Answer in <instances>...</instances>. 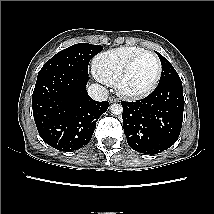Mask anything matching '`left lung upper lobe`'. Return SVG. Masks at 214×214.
Here are the masks:
<instances>
[{"instance_id":"1","label":"left lung upper lobe","mask_w":214,"mask_h":214,"mask_svg":"<svg viewBox=\"0 0 214 214\" xmlns=\"http://www.w3.org/2000/svg\"><path fill=\"white\" fill-rule=\"evenodd\" d=\"M162 64V74L160 77L159 83L171 80V79H180L174 67L169 63V61L164 58L161 54L157 53Z\"/></svg>"}]
</instances>
